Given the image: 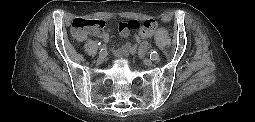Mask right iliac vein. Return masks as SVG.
I'll list each match as a JSON object with an SVG mask.
<instances>
[{"label": "right iliac vein", "mask_w": 255, "mask_h": 122, "mask_svg": "<svg viewBox=\"0 0 255 122\" xmlns=\"http://www.w3.org/2000/svg\"><path fill=\"white\" fill-rule=\"evenodd\" d=\"M105 59V52H100L97 58L98 63H102Z\"/></svg>", "instance_id": "1"}]
</instances>
